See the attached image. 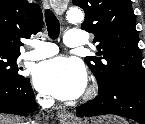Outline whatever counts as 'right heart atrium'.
Wrapping results in <instances>:
<instances>
[{
	"label": "right heart atrium",
	"mask_w": 145,
	"mask_h": 124,
	"mask_svg": "<svg viewBox=\"0 0 145 124\" xmlns=\"http://www.w3.org/2000/svg\"><path fill=\"white\" fill-rule=\"evenodd\" d=\"M40 99H41V101L42 102H44V103H49L50 102V99H48L46 96H44V95H41L40 96Z\"/></svg>",
	"instance_id": "d8ad5b80"
}]
</instances>
